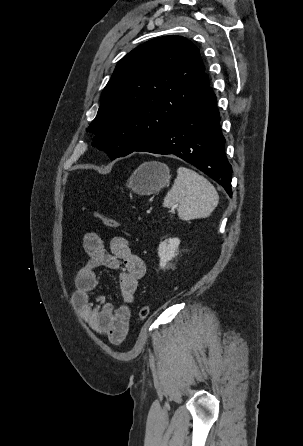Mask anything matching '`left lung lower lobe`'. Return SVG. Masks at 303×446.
<instances>
[{
	"label": "left lung lower lobe",
	"instance_id": "1",
	"mask_svg": "<svg viewBox=\"0 0 303 446\" xmlns=\"http://www.w3.org/2000/svg\"><path fill=\"white\" fill-rule=\"evenodd\" d=\"M224 143L216 98L208 86L189 103L163 136L135 151L174 154L214 179L231 197L232 167Z\"/></svg>",
	"mask_w": 303,
	"mask_h": 446
}]
</instances>
